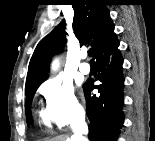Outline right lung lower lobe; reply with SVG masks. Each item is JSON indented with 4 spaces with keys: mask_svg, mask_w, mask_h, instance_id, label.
<instances>
[{
    "mask_svg": "<svg viewBox=\"0 0 155 141\" xmlns=\"http://www.w3.org/2000/svg\"><path fill=\"white\" fill-rule=\"evenodd\" d=\"M118 46L114 32L98 46L94 52L99 70L95 81L101 84L93 85L94 80L89 79L83 85L90 121L89 138L94 141H115L123 124V58ZM93 88L98 89L99 95H91Z\"/></svg>",
    "mask_w": 155,
    "mask_h": 141,
    "instance_id": "1",
    "label": "right lung lower lobe"
}]
</instances>
